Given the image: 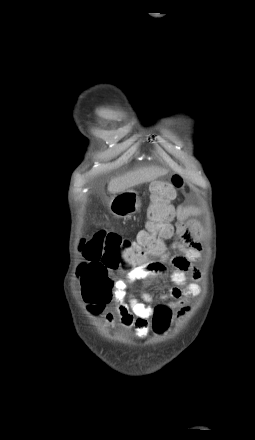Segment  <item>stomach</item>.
<instances>
[{
    "mask_svg": "<svg viewBox=\"0 0 255 440\" xmlns=\"http://www.w3.org/2000/svg\"><path fill=\"white\" fill-rule=\"evenodd\" d=\"M141 207L138 193L133 189L114 195L108 204L110 212L117 218H129Z\"/></svg>",
    "mask_w": 255,
    "mask_h": 440,
    "instance_id": "1",
    "label": "stomach"
}]
</instances>
